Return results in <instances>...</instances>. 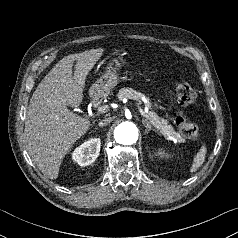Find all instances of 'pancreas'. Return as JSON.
Instances as JSON below:
<instances>
[{
	"mask_svg": "<svg viewBox=\"0 0 238 238\" xmlns=\"http://www.w3.org/2000/svg\"><path fill=\"white\" fill-rule=\"evenodd\" d=\"M117 96L119 100L128 98L135 101H141L143 98H145L144 94L137 92L132 88L120 89ZM147 115L149 116L148 120L163 136L178 143L184 142V139L181 137V135L174 131L172 125H169L166 119L160 118L155 112L152 111H149Z\"/></svg>",
	"mask_w": 238,
	"mask_h": 238,
	"instance_id": "obj_1",
	"label": "pancreas"
}]
</instances>
